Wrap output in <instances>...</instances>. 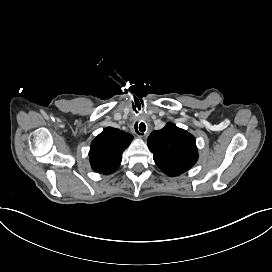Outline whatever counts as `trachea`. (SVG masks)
Wrapping results in <instances>:
<instances>
[{
	"instance_id": "1",
	"label": "trachea",
	"mask_w": 272,
	"mask_h": 272,
	"mask_svg": "<svg viewBox=\"0 0 272 272\" xmlns=\"http://www.w3.org/2000/svg\"><path fill=\"white\" fill-rule=\"evenodd\" d=\"M137 125H138V124H136V127H135L136 132L139 133V134H142V132H144L145 129H146L145 124H144V123H140V124H139V130L137 129Z\"/></svg>"
}]
</instances>
